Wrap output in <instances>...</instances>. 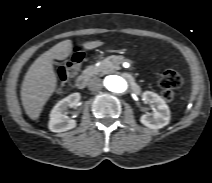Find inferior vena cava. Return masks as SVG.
Instances as JSON below:
<instances>
[{
    "label": "inferior vena cava",
    "instance_id": "1",
    "mask_svg": "<svg viewBox=\"0 0 212 183\" xmlns=\"http://www.w3.org/2000/svg\"><path fill=\"white\" fill-rule=\"evenodd\" d=\"M102 87V82L101 79L98 77H94L89 80L88 82V88L92 91L99 90Z\"/></svg>",
    "mask_w": 212,
    "mask_h": 183
}]
</instances>
